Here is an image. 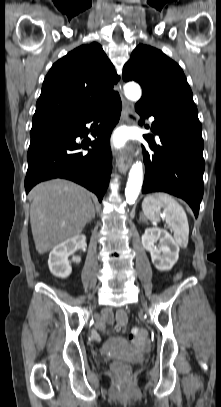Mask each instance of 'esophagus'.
I'll return each mask as SVG.
<instances>
[{
	"label": "esophagus",
	"instance_id": "esophagus-1",
	"mask_svg": "<svg viewBox=\"0 0 221 407\" xmlns=\"http://www.w3.org/2000/svg\"><path fill=\"white\" fill-rule=\"evenodd\" d=\"M123 110H122V120L123 121H128V113H130L133 109V106L131 103L123 99ZM130 160H131V149H128L126 151H121L118 156H117V166L118 169L121 173H126L130 166Z\"/></svg>",
	"mask_w": 221,
	"mask_h": 407
}]
</instances>
